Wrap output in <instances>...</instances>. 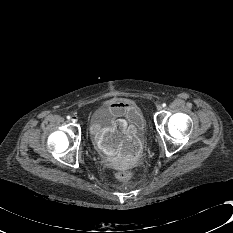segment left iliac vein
Here are the masks:
<instances>
[{
  "instance_id": "1",
  "label": "left iliac vein",
  "mask_w": 233,
  "mask_h": 233,
  "mask_svg": "<svg viewBox=\"0 0 233 233\" xmlns=\"http://www.w3.org/2000/svg\"><path fill=\"white\" fill-rule=\"evenodd\" d=\"M157 110L161 111L162 110V106L161 105H157Z\"/></svg>"
}]
</instances>
